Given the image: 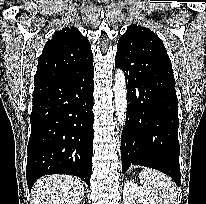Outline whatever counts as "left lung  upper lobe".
Wrapping results in <instances>:
<instances>
[{
	"label": "left lung upper lobe",
	"instance_id": "left-lung-upper-lobe-1",
	"mask_svg": "<svg viewBox=\"0 0 206 204\" xmlns=\"http://www.w3.org/2000/svg\"><path fill=\"white\" fill-rule=\"evenodd\" d=\"M116 57L131 68H138L143 62L160 64L172 72L166 48L161 39L148 28L132 24L120 37Z\"/></svg>",
	"mask_w": 206,
	"mask_h": 204
}]
</instances>
